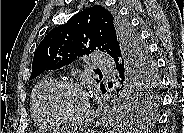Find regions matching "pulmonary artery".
<instances>
[{
    "label": "pulmonary artery",
    "mask_w": 184,
    "mask_h": 133,
    "mask_svg": "<svg viewBox=\"0 0 184 133\" xmlns=\"http://www.w3.org/2000/svg\"><path fill=\"white\" fill-rule=\"evenodd\" d=\"M92 61L95 63V66L98 69L103 70V71L114 68L112 59L102 54L94 55L92 57Z\"/></svg>",
    "instance_id": "e3ab8cb5"
}]
</instances>
